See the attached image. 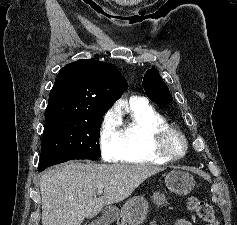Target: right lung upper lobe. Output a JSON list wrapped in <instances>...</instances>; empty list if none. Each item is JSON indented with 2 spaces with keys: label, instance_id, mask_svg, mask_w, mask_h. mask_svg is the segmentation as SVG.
Returning a JSON list of instances; mask_svg holds the SVG:
<instances>
[{
  "label": "right lung upper lobe",
  "instance_id": "right-lung-upper-lobe-1",
  "mask_svg": "<svg viewBox=\"0 0 237 225\" xmlns=\"http://www.w3.org/2000/svg\"><path fill=\"white\" fill-rule=\"evenodd\" d=\"M127 88L118 68L81 59L64 66L49 94L45 120L53 117L91 118L105 114Z\"/></svg>",
  "mask_w": 237,
  "mask_h": 225
}]
</instances>
